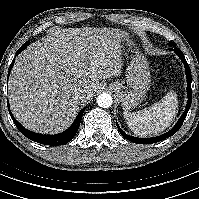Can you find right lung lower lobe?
Segmentation results:
<instances>
[{
	"mask_svg": "<svg viewBox=\"0 0 199 199\" xmlns=\"http://www.w3.org/2000/svg\"><path fill=\"white\" fill-rule=\"evenodd\" d=\"M28 44H29V42L24 43L19 48L16 55L19 54L22 50H24ZM14 61L15 60L12 61L11 65H10V69L12 68V66L14 64ZM9 74H10V70L8 72V76H9ZM7 105H8V110H9V113L11 115L13 122L15 123L16 127L19 129V131L24 136H26L27 138H29L32 141H35V142H38L41 144H45V145H51V146L63 145V144L68 143L70 140H72V138L75 136V134L77 133V131L79 129V125L82 120L83 112L86 109V107H85V108H83V110L80 111V113L76 117L74 123L65 132H63L61 134H57V135H44V134L34 133V132H31V131L25 129L16 119H14V117L9 109L8 101H7Z\"/></svg>",
	"mask_w": 199,
	"mask_h": 199,
	"instance_id": "1",
	"label": "right lung lower lobe"
}]
</instances>
